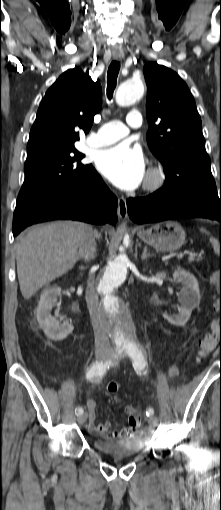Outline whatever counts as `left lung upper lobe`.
I'll return each instance as SVG.
<instances>
[{"label":"left lung upper lobe","instance_id":"5c2ea615","mask_svg":"<svg viewBox=\"0 0 221 510\" xmlns=\"http://www.w3.org/2000/svg\"><path fill=\"white\" fill-rule=\"evenodd\" d=\"M143 72L150 124L147 142L166 175L158 191L165 195L217 194L201 118L186 83L171 69L154 62L147 63Z\"/></svg>","mask_w":221,"mask_h":510}]
</instances>
